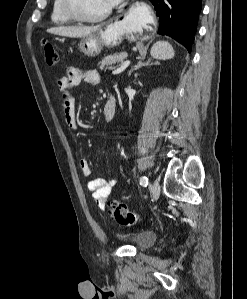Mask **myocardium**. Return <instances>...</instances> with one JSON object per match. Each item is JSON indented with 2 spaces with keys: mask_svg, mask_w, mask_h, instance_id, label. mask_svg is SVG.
<instances>
[{
  "mask_svg": "<svg viewBox=\"0 0 247 299\" xmlns=\"http://www.w3.org/2000/svg\"><path fill=\"white\" fill-rule=\"evenodd\" d=\"M61 1H62V9L65 15L68 16L71 20L78 21V22H86V23L100 22L106 19L112 11V7L110 6L104 12L96 16H86L81 14L77 10L74 0H61Z\"/></svg>",
  "mask_w": 247,
  "mask_h": 299,
  "instance_id": "f54148a6",
  "label": "myocardium"
}]
</instances>
